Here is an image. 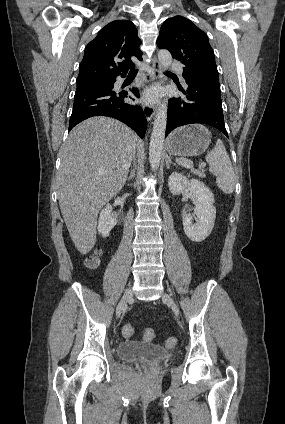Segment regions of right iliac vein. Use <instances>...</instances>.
<instances>
[{
  "instance_id": "right-iliac-vein-1",
  "label": "right iliac vein",
  "mask_w": 285,
  "mask_h": 424,
  "mask_svg": "<svg viewBox=\"0 0 285 424\" xmlns=\"http://www.w3.org/2000/svg\"><path fill=\"white\" fill-rule=\"evenodd\" d=\"M132 298H133V291H132V289H128V290L124 293L123 297L121 298V300H120V302H119V304H118V306H117L116 314H117L118 316L121 314V312H122L123 310H125V309H126V307H127V303H128L130 300H132Z\"/></svg>"
}]
</instances>
